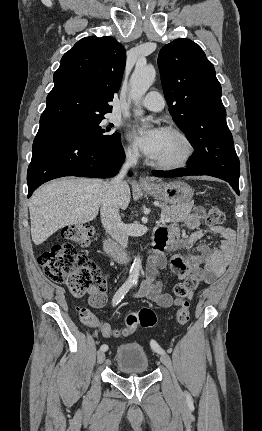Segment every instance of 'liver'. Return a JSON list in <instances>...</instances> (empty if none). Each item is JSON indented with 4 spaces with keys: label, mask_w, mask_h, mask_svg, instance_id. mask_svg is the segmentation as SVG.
<instances>
[{
    "label": "liver",
    "mask_w": 262,
    "mask_h": 431,
    "mask_svg": "<svg viewBox=\"0 0 262 431\" xmlns=\"http://www.w3.org/2000/svg\"><path fill=\"white\" fill-rule=\"evenodd\" d=\"M105 184L101 179L62 178L37 190L29 202L34 244H42L64 226L94 220L105 195ZM130 198L127 185L120 195L121 209L128 207Z\"/></svg>",
    "instance_id": "liver-1"
}]
</instances>
